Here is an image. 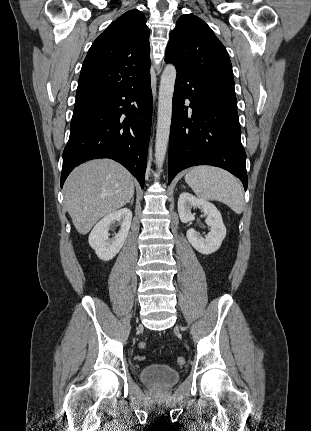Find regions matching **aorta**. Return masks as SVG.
I'll return each mask as SVG.
<instances>
[{"label": "aorta", "instance_id": "762f6f07", "mask_svg": "<svg viewBox=\"0 0 311 431\" xmlns=\"http://www.w3.org/2000/svg\"><path fill=\"white\" fill-rule=\"evenodd\" d=\"M175 80V66L167 64L161 76L159 88L158 118L155 140V160L158 170H161L163 166L169 142Z\"/></svg>", "mask_w": 311, "mask_h": 431}]
</instances>
